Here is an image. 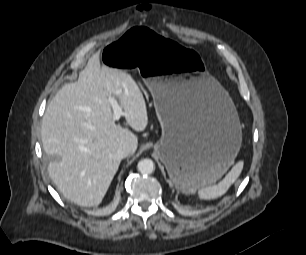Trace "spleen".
<instances>
[{
    "label": "spleen",
    "instance_id": "obj_1",
    "mask_svg": "<svg viewBox=\"0 0 306 255\" xmlns=\"http://www.w3.org/2000/svg\"><path fill=\"white\" fill-rule=\"evenodd\" d=\"M242 168H243V162L239 161L232 167L230 172L217 185H211L200 188L198 190L199 197L202 199H215L226 193L229 187L239 177Z\"/></svg>",
    "mask_w": 306,
    "mask_h": 255
}]
</instances>
